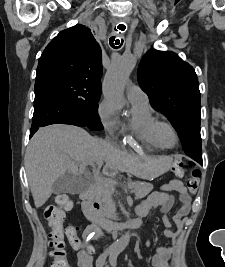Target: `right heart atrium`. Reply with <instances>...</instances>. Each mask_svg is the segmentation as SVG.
<instances>
[{
	"mask_svg": "<svg viewBox=\"0 0 225 267\" xmlns=\"http://www.w3.org/2000/svg\"><path fill=\"white\" fill-rule=\"evenodd\" d=\"M98 116L105 130L113 133L119 125V116L115 104L108 98H104L98 106Z\"/></svg>",
	"mask_w": 225,
	"mask_h": 267,
	"instance_id": "obj_1",
	"label": "right heart atrium"
}]
</instances>
